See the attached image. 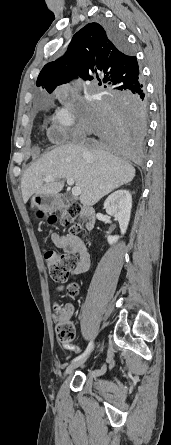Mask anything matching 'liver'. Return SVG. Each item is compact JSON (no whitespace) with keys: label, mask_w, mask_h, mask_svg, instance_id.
<instances>
[{"label":"liver","mask_w":171,"mask_h":445,"mask_svg":"<svg viewBox=\"0 0 171 445\" xmlns=\"http://www.w3.org/2000/svg\"><path fill=\"white\" fill-rule=\"evenodd\" d=\"M49 176L51 182H45ZM135 168L120 157H108L99 145L69 143L53 149L23 174L21 190L26 203L33 194L56 196L64 187V178H72L80 187V202L93 206L102 197L129 183Z\"/></svg>","instance_id":"obj_1"}]
</instances>
